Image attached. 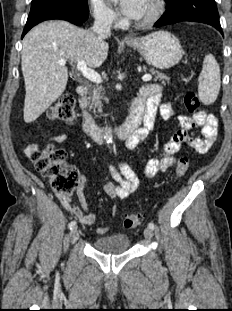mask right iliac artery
Masks as SVG:
<instances>
[{
    "mask_svg": "<svg viewBox=\"0 0 232 311\" xmlns=\"http://www.w3.org/2000/svg\"><path fill=\"white\" fill-rule=\"evenodd\" d=\"M75 226H76V221H71L68 225L70 229L74 228Z\"/></svg>",
    "mask_w": 232,
    "mask_h": 311,
    "instance_id": "obj_1",
    "label": "right iliac artery"
}]
</instances>
